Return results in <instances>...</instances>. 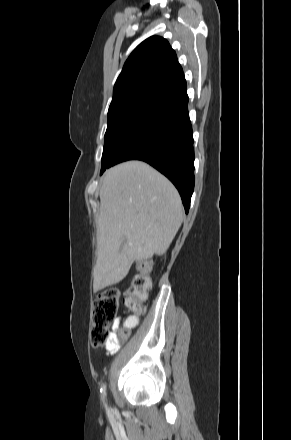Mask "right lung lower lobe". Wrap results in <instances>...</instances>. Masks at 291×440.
I'll list each match as a JSON object with an SVG mask.
<instances>
[{"label":"right lung lower lobe","mask_w":291,"mask_h":440,"mask_svg":"<svg viewBox=\"0 0 291 440\" xmlns=\"http://www.w3.org/2000/svg\"><path fill=\"white\" fill-rule=\"evenodd\" d=\"M187 105L183 79L153 100L109 163L111 167L127 160L147 162L176 186L186 213L194 190V148Z\"/></svg>","instance_id":"right-lung-lower-lobe-1"}]
</instances>
